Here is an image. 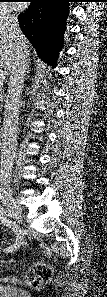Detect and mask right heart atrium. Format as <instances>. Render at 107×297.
I'll list each match as a JSON object with an SVG mask.
<instances>
[{
  "label": "right heart atrium",
  "instance_id": "1",
  "mask_svg": "<svg viewBox=\"0 0 107 297\" xmlns=\"http://www.w3.org/2000/svg\"><path fill=\"white\" fill-rule=\"evenodd\" d=\"M13 17L11 10L7 7H0V20H9Z\"/></svg>",
  "mask_w": 107,
  "mask_h": 297
}]
</instances>
